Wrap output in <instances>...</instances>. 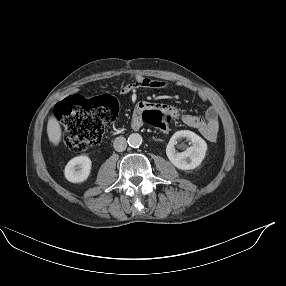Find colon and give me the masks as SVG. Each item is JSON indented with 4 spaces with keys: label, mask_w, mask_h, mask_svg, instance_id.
<instances>
[{
    "label": "colon",
    "mask_w": 286,
    "mask_h": 286,
    "mask_svg": "<svg viewBox=\"0 0 286 286\" xmlns=\"http://www.w3.org/2000/svg\"><path fill=\"white\" fill-rule=\"evenodd\" d=\"M118 101L111 95L85 99L70 95L59 101L54 109L57 120L64 128V143L72 151L81 152L96 145L106 127L114 120ZM144 125L151 130L168 131L173 124L172 116L161 110H148L143 117Z\"/></svg>",
    "instance_id": "5ec220e1"
}]
</instances>
